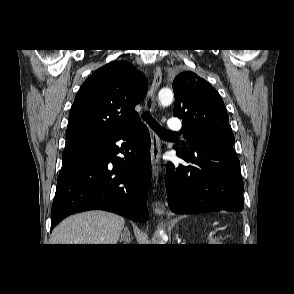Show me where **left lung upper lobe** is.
Listing matches in <instances>:
<instances>
[{"label":"left lung upper lobe","instance_id":"1","mask_svg":"<svg viewBox=\"0 0 294 294\" xmlns=\"http://www.w3.org/2000/svg\"><path fill=\"white\" fill-rule=\"evenodd\" d=\"M175 105L173 115L183 121V137L188 146L206 142L232 146L234 135L229 126L223 100L206 80L191 71L180 73L173 82Z\"/></svg>","mask_w":294,"mask_h":294}]
</instances>
